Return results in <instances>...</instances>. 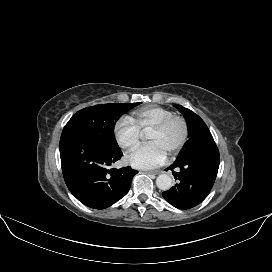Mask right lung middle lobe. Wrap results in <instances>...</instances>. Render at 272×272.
Segmentation results:
<instances>
[{"instance_id": "dd1d6c3e", "label": "right lung middle lobe", "mask_w": 272, "mask_h": 272, "mask_svg": "<svg viewBox=\"0 0 272 272\" xmlns=\"http://www.w3.org/2000/svg\"><path fill=\"white\" fill-rule=\"evenodd\" d=\"M141 103L102 104L84 108L72 116L62 135L77 133L96 138L111 148H119L114 126L122 114Z\"/></svg>"}]
</instances>
